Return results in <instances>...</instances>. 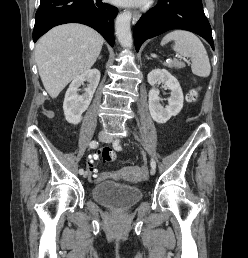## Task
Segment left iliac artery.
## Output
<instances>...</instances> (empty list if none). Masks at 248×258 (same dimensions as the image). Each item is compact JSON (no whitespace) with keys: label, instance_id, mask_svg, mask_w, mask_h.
I'll use <instances>...</instances> for the list:
<instances>
[{"label":"left iliac artery","instance_id":"obj_1","mask_svg":"<svg viewBox=\"0 0 248 258\" xmlns=\"http://www.w3.org/2000/svg\"><path fill=\"white\" fill-rule=\"evenodd\" d=\"M113 147L115 150L120 151L122 149L121 145H120V140L117 139L114 143H113ZM150 165L153 169L156 168V162L154 161V159H151Z\"/></svg>","mask_w":248,"mask_h":258}]
</instances>
